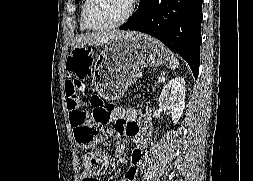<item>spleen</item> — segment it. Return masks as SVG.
I'll use <instances>...</instances> for the list:
<instances>
[{"label": "spleen", "instance_id": "3e777b00", "mask_svg": "<svg viewBox=\"0 0 253 181\" xmlns=\"http://www.w3.org/2000/svg\"><path fill=\"white\" fill-rule=\"evenodd\" d=\"M178 66H179V61H178V59H176V58L174 57V55L171 54L169 67H170L171 69L174 70V69L178 68Z\"/></svg>", "mask_w": 253, "mask_h": 181}]
</instances>
